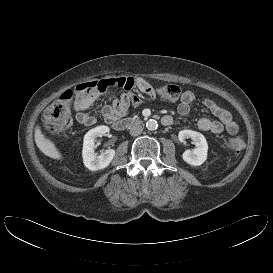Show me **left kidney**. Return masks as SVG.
Wrapping results in <instances>:
<instances>
[{
  "label": "left kidney",
  "mask_w": 273,
  "mask_h": 273,
  "mask_svg": "<svg viewBox=\"0 0 273 273\" xmlns=\"http://www.w3.org/2000/svg\"><path fill=\"white\" fill-rule=\"evenodd\" d=\"M178 138L181 142L185 139L191 138L196 145L193 150H185L182 154L183 160L193 166H199L203 164L207 159L208 144L204 135L192 130H182L178 134Z\"/></svg>",
  "instance_id": "obj_1"
}]
</instances>
